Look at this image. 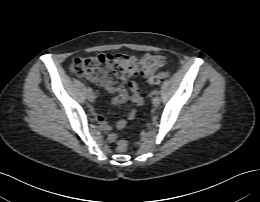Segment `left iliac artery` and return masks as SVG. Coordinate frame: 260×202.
Segmentation results:
<instances>
[{
  "label": "left iliac artery",
  "instance_id": "left-iliac-artery-1",
  "mask_svg": "<svg viewBox=\"0 0 260 202\" xmlns=\"http://www.w3.org/2000/svg\"><path fill=\"white\" fill-rule=\"evenodd\" d=\"M153 94H154V95H159V90H157V89L154 90V91H153Z\"/></svg>",
  "mask_w": 260,
  "mask_h": 202
}]
</instances>
